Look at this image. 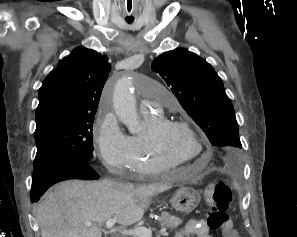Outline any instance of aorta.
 Here are the masks:
<instances>
[{"label":"aorta","instance_id":"aorta-1","mask_svg":"<svg viewBox=\"0 0 297 237\" xmlns=\"http://www.w3.org/2000/svg\"><path fill=\"white\" fill-rule=\"evenodd\" d=\"M131 77H121L114 87L113 106L119 120L127 126L130 133L135 134L140 130V123L136 111L134 96L131 93Z\"/></svg>","mask_w":297,"mask_h":237}]
</instances>
